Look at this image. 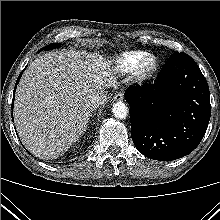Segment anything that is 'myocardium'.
<instances>
[{"instance_id": "myocardium-1", "label": "myocardium", "mask_w": 220, "mask_h": 220, "mask_svg": "<svg viewBox=\"0 0 220 220\" xmlns=\"http://www.w3.org/2000/svg\"><path fill=\"white\" fill-rule=\"evenodd\" d=\"M157 69V58L152 54L145 55L132 70V79L142 84L152 78Z\"/></svg>"}]
</instances>
